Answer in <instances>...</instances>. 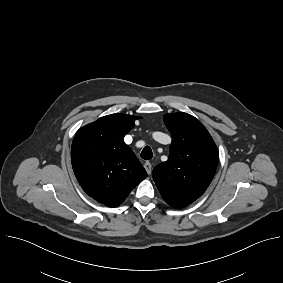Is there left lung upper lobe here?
<instances>
[{
  "label": "left lung upper lobe",
  "mask_w": 283,
  "mask_h": 283,
  "mask_svg": "<svg viewBox=\"0 0 283 283\" xmlns=\"http://www.w3.org/2000/svg\"><path fill=\"white\" fill-rule=\"evenodd\" d=\"M172 135L169 157L153 170L162 198L175 208L199 198L211 183L218 164V150L207 129L187 113L164 115Z\"/></svg>",
  "instance_id": "left-lung-upper-lobe-1"
}]
</instances>
